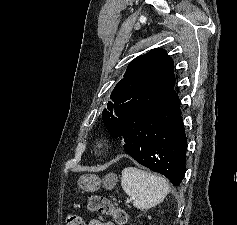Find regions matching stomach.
Returning a JSON list of instances; mask_svg holds the SVG:
<instances>
[{
	"instance_id": "obj_1",
	"label": "stomach",
	"mask_w": 237,
	"mask_h": 225,
	"mask_svg": "<svg viewBox=\"0 0 237 225\" xmlns=\"http://www.w3.org/2000/svg\"><path fill=\"white\" fill-rule=\"evenodd\" d=\"M117 181L118 177L114 173L107 174L103 179L96 175L86 174L79 178L78 186L88 192L97 191L101 185L107 190H112L116 186Z\"/></svg>"
}]
</instances>
